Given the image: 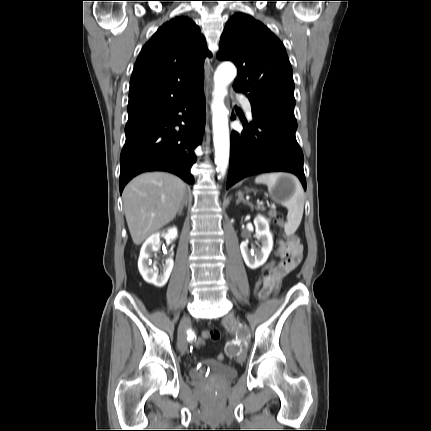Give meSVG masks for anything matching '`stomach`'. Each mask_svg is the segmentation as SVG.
I'll return each instance as SVG.
<instances>
[{
	"label": "stomach",
	"instance_id": "0dacf381",
	"mask_svg": "<svg viewBox=\"0 0 431 431\" xmlns=\"http://www.w3.org/2000/svg\"><path fill=\"white\" fill-rule=\"evenodd\" d=\"M296 188L293 177L289 174L278 179L276 184L269 188L272 200L279 204H285L294 194Z\"/></svg>",
	"mask_w": 431,
	"mask_h": 431
}]
</instances>
